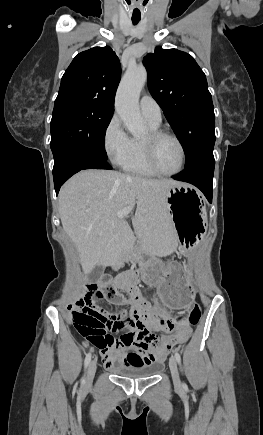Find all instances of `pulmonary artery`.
<instances>
[{
    "label": "pulmonary artery",
    "instance_id": "obj_1",
    "mask_svg": "<svg viewBox=\"0 0 263 435\" xmlns=\"http://www.w3.org/2000/svg\"><path fill=\"white\" fill-rule=\"evenodd\" d=\"M140 110L142 115L157 124L162 119V111L159 104L149 95H144L140 100Z\"/></svg>",
    "mask_w": 263,
    "mask_h": 435
}]
</instances>
